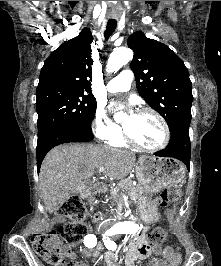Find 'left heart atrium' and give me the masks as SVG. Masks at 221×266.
<instances>
[{"label": "left heart atrium", "instance_id": "1", "mask_svg": "<svg viewBox=\"0 0 221 266\" xmlns=\"http://www.w3.org/2000/svg\"><path fill=\"white\" fill-rule=\"evenodd\" d=\"M130 115H134V113L131 112Z\"/></svg>", "mask_w": 221, "mask_h": 266}]
</instances>
